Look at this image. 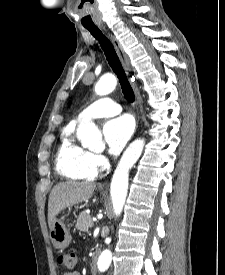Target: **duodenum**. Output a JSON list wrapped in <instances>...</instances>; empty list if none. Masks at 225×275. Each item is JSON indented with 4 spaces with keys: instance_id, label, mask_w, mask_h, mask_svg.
Instances as JSON below:
<instances>
[{
    "instance_id": "410a0bca",
    "label": "duodenum",
    "mask_w": 225,
    "mask_h": 275,
    "mask_svg": "<svg viewBox=\"0 0 225 275\" xmlns=\"http://www.w3.org/2000/svg\"><path fill=\"white\" fill-rule=\"evenodd\" d=\"M90 271L91 274H94L96 272V259L93 257L92 261L90 263Z\"/></svg>"
}]
</instances>
